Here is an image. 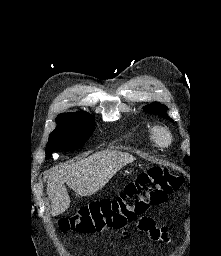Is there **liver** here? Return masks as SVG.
I'll use <instances>...</instances> for the list:
<instances>
[{"mask_svg": "<svg viewBox=\"0 0 221 256\" xmlns=\"http://www.w3.org/2000/svg\"><path fill=\"white\" fill-rule=\"evenodd\" d=\"M134 160L135 157L128 153L104 150L52 169L47 180L52 215L57 216L70 206L65 184L80 196H91L101 190L122 167Z\"/></svg>", "mask_w": 221, "mask_h": 256, "instance_id": "6515ba94", "label": "liver"}]
</instances>
